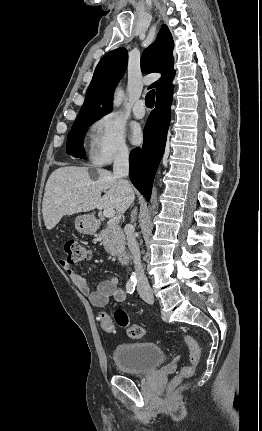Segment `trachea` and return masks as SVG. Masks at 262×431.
Wrapping results in <instances>:
<instances>
[{"instance_id":"trachea-1","label":"trachea","mask_w":262,"mask_h":431,"mask_svg":"<svg viewBox=\"0 0 262 431\" xmlns=\"http://www.w3.org/2000/svg\"><path fill=\"white\" fill-rule=\"evenodd\" d=\"M155 103V90H151L146 94L145 104L148 108H153Z\"/></svg>"}]
</instances>
